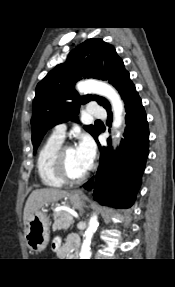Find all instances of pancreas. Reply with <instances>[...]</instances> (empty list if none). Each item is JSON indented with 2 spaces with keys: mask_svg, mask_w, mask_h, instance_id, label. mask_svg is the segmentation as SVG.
<instances>
[{
  "mask_svg": "<svg viewBox=\"0 0 175 287\" xmlns=\"http://www.w3.org/2000/svg\"><path fill=\"white\" fill-rule=\"evenodd\" d=\"M71 214L65 210L58 211L54 214V223L52 226L53 231L56 230H67L72 224L73 220L68 217Z\"/></svg>",
  "mask_w": 175,
  "mask_h": 287,
  "instance_id": "obj_1",
  "label": "pancreas"
}]
</instances>
